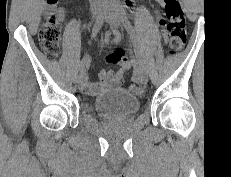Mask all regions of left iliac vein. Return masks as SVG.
I'll list each match as a JSON object with an SVG mask.
<instances>
[{
	"instance_id": "left-iliac-vein-1",
	"label": "left iliac vein",
	"mask_w": 231,
	"mask_h": 177,
	"mask_svg": "<svg viewBox=\"0 0 231 177\" xmlns=\"http://www.w3.org/2000/svg\"><path fill=\"white\" fill-rule=\"evenodd\" d=\"M104 18L107 23H109L112 27H118L120 25V16L118 12L115 11L112 4H110L104 11ZM138 79L141 81V83L146 84L148 82V75L146 71H141L138 76Z\"/></svg>"
}]
</instances>
